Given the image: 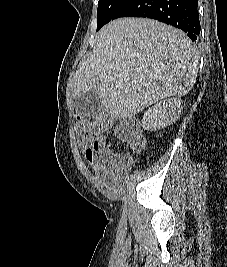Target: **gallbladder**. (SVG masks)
<instances>
[{"mask_svg": "<svg viewBox=\"0 0 227 267\" xmlns=\"http://www.w3.org/2000/svg\"><path fill=\"white\" fill-rule=\"evenodd\" d=\"M77 112L84 116H93L102 108V100L98 90L83 93L75 100Z\"/></svg>", "mask_w": 227, "mask_h": 267, "instance_id": "gallbladder-1", "label": "gallbladder"}]
</instances>
